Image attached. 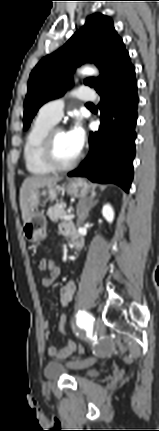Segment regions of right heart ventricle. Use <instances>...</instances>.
I'll return each mask as SVG.
<instances>
[{"label":"right heart ventricle","mask_w":159,"mask_h":431,"mask_svg":"<svg viewBox=\"0 0 159 431\" xmlns=\"http://www.w3.org/2000/svg\"><path fill=\"white\" fill-rule=\"evenodd\" d=\"M54 124L53 121L39 113L26 135L23 158L27 171L32 175L43 176L53 172L43 160L42 146L47 133Z\"/></svg>","instance_id":"1"}]
</instances>
